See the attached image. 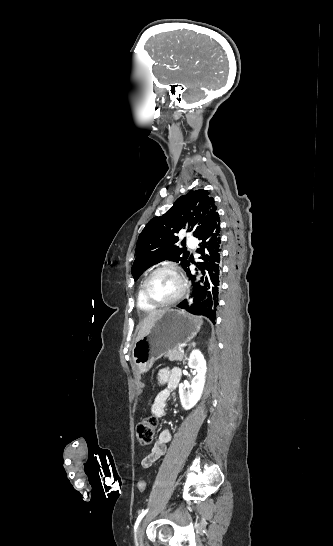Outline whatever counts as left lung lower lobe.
Wrapping results in <instances>:
<instances>
[{"mask_svg": "<svg viewBox=\"0 0 333 546\" xmlns=\"http://www.w3.org/2000/svg\"><path fill=\"white\" fill-rule=\"evenodd\" d=\"M220 218L217 214L210 225L203 230L198 239L202 240L200 263L202 278L193 286L190 299L182 301L178 307L195 314L208 317L212 322L216 319L219 304L221 264H220ZM189 277L194 280L188 268Z\"/></svg>", "mask_w": 333, "mask_h": 546, "instance_id": "left-lung-lower-lobe-1", "label": "left lung lower lobe"}]
</instances>
